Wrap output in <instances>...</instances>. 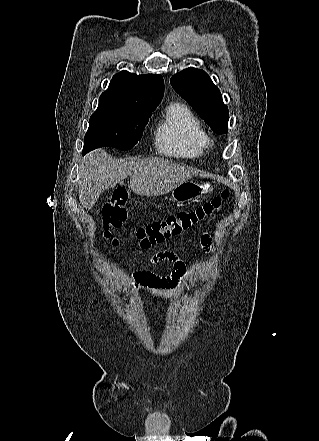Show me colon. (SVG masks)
I'll return each instance as SVG.
<instances>
[{"mask_svg": "<svg viewBox=\"0 0 319 441\" xmlns=\"http://www.w3.org/2000/svg\"><path fill=\"white\" fill-rule=\"evenodd\" d=\"M127 192L124 189L115 190L102 209L104 235L112 244H118L114 231L119 229L127 218ZM229 198V192L223 191L219 197L209 202L182 210L160 222H154L136 231L138 245L148 249L152 245L177 236L216 214Z\"/></svg>", "mask_w": 319, "mask_h": 441, "instance_id": "1", "label": "colon"}]
</instances>
